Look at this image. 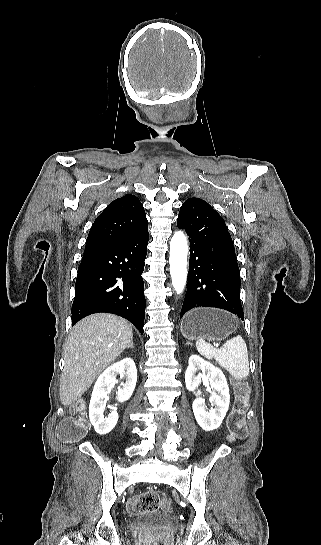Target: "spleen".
I'll use <instances>...</instances> for the list:
<instances>
[{"instance_id":"spleen-1","label":"spleen","mask_w":321,"mask_h":545,"mask_svg":"<svg viewBox=\"0 0 321 545\" xmlns=\"http://www.w3.org/2000/svg\"><path fill=\"white\" fill-rule=\"evenodd\" d=\"M198 353L205 359H215L216 363L226 369L234 379L243 381L248 377L249 359L247 345L241 335H236L224 343L221 349H215L210 343H205L202 339L196 341Z\"/></svg>"}]
</instances>
